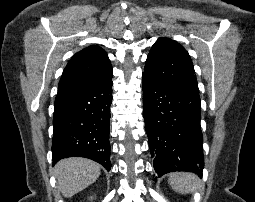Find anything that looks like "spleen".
Returning <instances> with one entry per match:
<instances>
[{
  "instance_id": "spleen-1",
  "label": "spleen",
  "mask_w": 255,
  "mask_h": 202,
  "mask_svg": "<svg viewBox=\"0 0 255 202\" xmlns=\"http://www.w3.org/2000/svg\"><path fill=\"white\" fill-rule=\"evenodd\" d=\"M169 183L175 191L189 193L197 189L198 178L192 173H172Z\"/></svg>"
}]
</instances>
